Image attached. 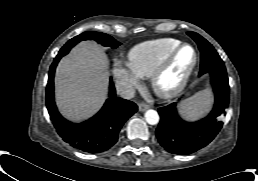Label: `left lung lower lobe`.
Segmentation results:
<instances>
[{
	"label": "left lung lower lobe",
	"instance_id": "1",
	"mask_svg": "<svg viewBox=\"0 0 258 181\" xmlns=\"http://www.w3.org/2000/svg\"><path fill=\"white\" fill-rule=\"evenodd\" d=\"M210 75L215 104L206 118L194 123L184 122L178 116L176 103L158 109L160 123L156 136L160 145L169 153H194L207 146L222 128L220 118L229 104L228 77L227 73L222 72H210Z\"/></svg>",
	"mask_w": 258,
	"mask_h": 181
}]
</instances>
